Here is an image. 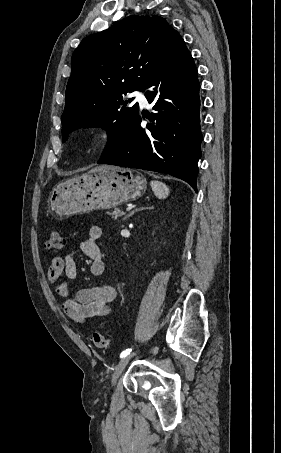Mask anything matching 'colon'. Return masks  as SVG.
Returning a JSON list of instances; mask_svg holds the SVG:
<instances>
[{
  "mask_svg": "<svg viewBox=\"0 0 281 453\" xmlns=\"http://www.w3.org/2000/svg\"><path fill=\"white\" fill-rule=\"evenodd\" d=\"M45 249L48 252H59L62 250V233L60 230L50 231L49 238L45 244ZM109 338L104 334H93V346L98 350L108 348Z\"/></svg>",
  "mask_w": 281,
  "mask_h": 453,
  "instance_id": "obj_1",
  "label": "colon"
}]
</instances>
